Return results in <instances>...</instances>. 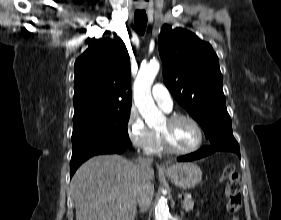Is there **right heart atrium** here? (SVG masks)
I'll return each mask as SVG.
<instances>
[{"mask_svg": "<svg viewBox=\"0 0 281 220\" xmlns=\"http://www.w3.org/2000/svg\"><path fill=\"white\" fill-rule=\"evenodd\" d=\"M126 132L134 148L145 153L151 151L155 140L154 132L146 126L135 110H132L128 116Z\"/></svg>", "mask_w": 281, "mask_h": 220, "instance_id": "1", "label": "right heart atrium"}]
</instances>
